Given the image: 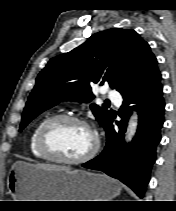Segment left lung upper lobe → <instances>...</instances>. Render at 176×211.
<instances>
[{"label":"left lung upper lobe","mask_w":176,"mask_h":211,"mask_svg":"<svg viewBox=\"0 0 176 211\" xmlns=\"http://www.w3.org/2000/svg\"><path fill=\"white\" fill-rule=\"evenodd\" d=\"M159 75L156 57L134 30L98 32L74 50L50 59L36 79L19 131L60 101L90 102L91 83H108L124 96ZM90 108L105 128L112 118L110 111L96 104Z\"/></svg>","instance_id":"left-lung-upper-lobe-1"}]
</instances>
